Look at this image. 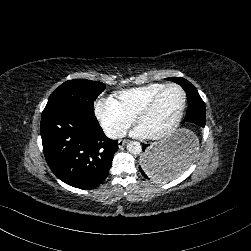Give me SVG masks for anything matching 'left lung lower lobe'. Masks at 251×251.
Listing matches in <instances>:
<instances>
[{
	"label": "left lung lower lobe",
	"instance_id": "obj_1",
	"mask_svg": "<svg viewBox=\"0 0 251 251\" xmlns=\"http://www.w3.org/2000/svg\"><path fill=\"white\" fill-rule=\"evenodd\" d=\"M187 98L189 107L180 136L159 149H149L147 144L143 146L139 170L148 180H172L185 172L198 155L206 123V109L203 101L194 97Z\"/></svg>",
	"mask_w": 251,
	"mask_h": 251
}]
</instances>
